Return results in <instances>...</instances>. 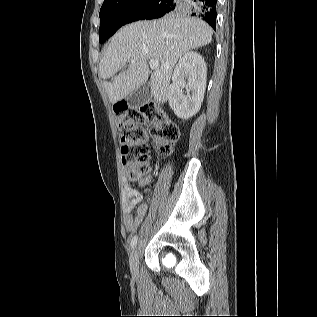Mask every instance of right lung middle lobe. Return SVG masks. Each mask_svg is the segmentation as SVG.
<instances>
[{
	"instance_id": "right-lung-middle-lobe-1",
	"label": "right lung middle lobe",
	"mask_w": 317,
	"mask_h": 317,
	"mask_svg": "<svg viewBox=\"0 0 317 317\" xmlns=\"http://www.w3.org/2000/svg\"><path fill=\"white\" fill-rule=\"evenodd\" d=\"M165 0H104L100 9L99 41L104 42L120 27L127 23L147 18V15ZM185 0H176L168 12L179 11L184 7ZM165 14V13H164Z\"/></svg>"
}]
</instances>
